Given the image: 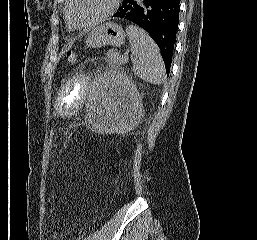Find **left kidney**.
I'll return each mask as SVG.
<instances>
[{"instance_id": "obj_1", "label": "left kidney", "mask_w": 257, "mask_h": 240, "mask_svg": "<svg viewBox=\"0 0 257 240\" xmlns=\"http://www.w3.org/2000/svg\"><path fill=\"white\" fill-rule=\"evenodd\" d=\"M88 116L92 129L102 134H123L142 119L143 105L133 81L123 72L98 75L88 98Z\"/></svg>"}]
</instances>
